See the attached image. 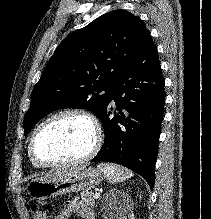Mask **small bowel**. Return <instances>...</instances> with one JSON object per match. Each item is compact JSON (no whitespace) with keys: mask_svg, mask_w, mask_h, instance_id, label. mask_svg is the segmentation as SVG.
Masks as SVG:
<instances>
[{"mask_svg":"<svg viewBox=\"0 0 211 219\" xmlns=\"http://www.w3.org/2000/svg\"><path fill=\"white\" fill-rule=\"evenodd\" d=\"M72 213H75L81 219H96L90 209L80 205L77 201L68 203L58 212L55 219H70Z\"/></svg>","mask_w":211,"mask_h":219,"instance_id":"c3829d8e","label":"small bowel"}]
</instances>
